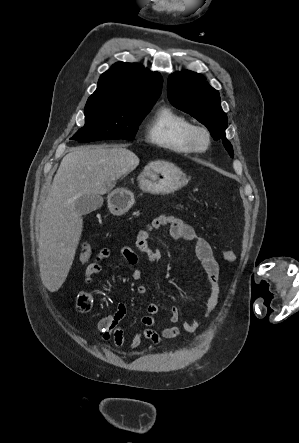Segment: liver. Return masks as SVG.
<instances>
[{
  "instance_id": "1",
  "label": "liver",
  "mask_w": 299,
  "mask_h": 443,
  "mask_svg": "<svg viewBox=\"0 0 299 443\" xmlns=\"http://www.w3.org/2000/svg\"><path fill=\"white\" fill-rule=\"evenodd\" d=\"M138 165L136 154L123 146L79 147L64 156L40 217V277L50 292L65 282L81 238L83 219L75 201L84 194H106Z\"/></svg>"
}]
</instances>
